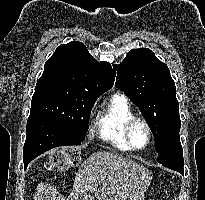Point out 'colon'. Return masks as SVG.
I'll return each instance as SVG.
<instances>
[{
  "label": "colon",
  "mask_w": 205,
  "mask_h": 200,
  "mask_svg": "<svg viewBox=\"0 0 205 200\" xmlns=\"http://www.w3.org/2000/svg\"><path fill=\"white\" fill-rule=\"evenodd\" d=\"M79 161V151L74 147H65L49 156L46 168L49 171H64L77 166Z\"/></svg>",
  "instance_id": "colon-1"
}]
</instances>
